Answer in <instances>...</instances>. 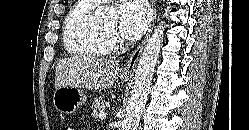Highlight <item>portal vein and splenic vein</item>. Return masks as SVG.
Instances as JSON below:
<instances>
[{"instance_id":"1","label":"portal vein and splenic vein","mask_w":249,"mask_h":130,"mask_svg":"<svg viewBox=\"0 0 249 130\" xmlns=\"http://www.w3.org/2000/svg\"><path fill=\"white\" fill-rule=\"evenodd\" d=\"M106 118V113L105 112H100L99 113V119L104 120Z\"/></svg>"}]
</instances>
